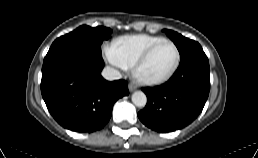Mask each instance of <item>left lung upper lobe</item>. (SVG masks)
Segmentation results:
<instances>
[{"label": "left lung upper lobe", "instance_id": "5c2ea615", "mask_svg": "<svg viewBox=\"0 0 258 158\" xmlns=\"http://www.w3.org/2000/svg\"><path fill=\"white\" fill-rule=\"evenodd\" d=\"M167 36L174 42L176 47L179 50L180 56L183 57L194 45L199 44L196 41L185 38L181 34L171 31V30H163Z\"/></svg>", "mask_w": 258, "mask_h": 158}]
</instances>
